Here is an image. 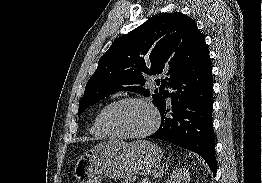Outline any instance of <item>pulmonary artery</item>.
Listing matches in <instances>:
<instances>
[{"mask_svg": "<svg viewBox=\"0 0 262 183\" xmlns=\"http://www.w3.org/2000/svg\"><path fill=\"white\" fill-rule=\"evenodd\" d=\"M169 92L171 93L172 92V89L169 87Z\"/></svg>", "mask_w": 262, "mask_h": 183, "instance_id": "1", "label": "pulmonary artery"}]
</instances>
